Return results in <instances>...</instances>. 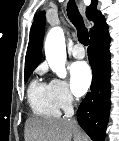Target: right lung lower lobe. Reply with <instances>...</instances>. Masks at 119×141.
Wrapping results in <instances>:
<instances>
[{
	"mask_svg": "<svg viewBox=\"0 0 119 141\" xmlns=\"http://www.w3.org/2000/svg\"><path fill=\"white\" fill-rule=\"evenodd\" d=\"M88 58L93 72L91 92L77 111L80 126L93 141H104L110 111V37L103 19L90 33Z\"/></svg>",
	"mask_w": 119,
	"mask_h": 141,
	"instance_id": "right-lung-lower-lobe-1",
	"label": "right lung lower lobe"
}]
</instances>
